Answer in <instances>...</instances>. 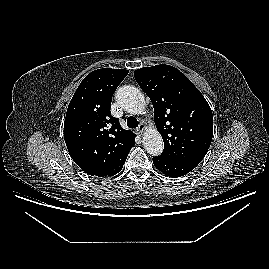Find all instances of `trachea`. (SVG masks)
Listing matches in <instances>:
<instances>
[{"instance_id":"obj_1","label":"trachea","mask_w":269,"mask_h":269,"mask_svg":"<svg viewBox=\"0 0 269 269\" xmlns=\"http://www.w3.org/2000/svg\"><path fill=\"white\" fill-rule=\"evenodd\" d=\"M138 124H139V122H138V120L135 117H133V116L128 117V119H127V125L130 128H136V127H138Z\"/></svg>"}]
</instances>
